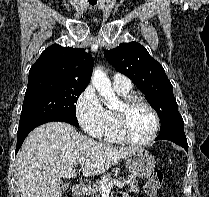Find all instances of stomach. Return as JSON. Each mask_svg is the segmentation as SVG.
<instances>
[{"instance_id": "obj_1", "label": "stomach", "mask_w": 209, "mask_h": 197, "mask_svg": "<svg viewBox=\"0 0 209 197\" xmlns=\"http://www.w3.org/2000/svg\"><path fill=\"white\" fill-rule=\"evenodd\" d=\"M125 164L133 176L149 178L155 170L156 161L147 150L138 148L125 158Z\"/></svg>"}]
</instances>
